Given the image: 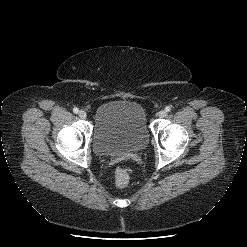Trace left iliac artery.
<instances>
[{
  "label": "left iliac artery",
  "mask_w": 247,
  "mask_h": 247,
  "mask_svg": "<svg viewBox=\"0 0 247 247\" xmlns=\"http://www.w3.org/2000/svg\"><path fill=\"white\" fill-rule=\"evenodd\" d=\"M165 110H166V112H170V111H171V108H170L169 106H167V107L165 108Z\"/></svg>",
  "instance_id": "1"
}]
</instances>
